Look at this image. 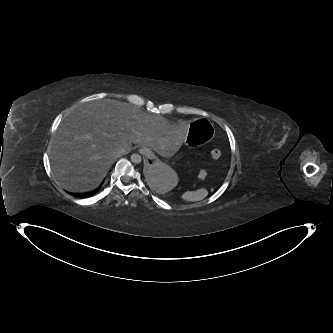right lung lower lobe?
<instances>
[{
  "label": "right lung lower lobe",
  "mask_w": 333,
  "mask_h": 333,
  "mask_svg": "<svg viewBox=\"0 0 333 333\" xmlns=\"http://www.w3.org/2000/svg\"><path fill=\"white\" fill-rule=\"evenodd\" d=\"M103 182L101 183L100 187H98L97 189H95L94 191L92 192H89V193H81V194H74L76 197H79V198H85V197H89L93 194H95L96 192H98V190L101 188Z\"/></svg>",
  "instance_id": "1"
}]
</instances>
